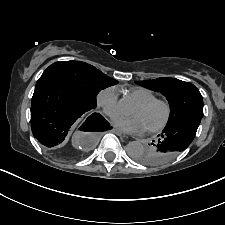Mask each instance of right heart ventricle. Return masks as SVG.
<instances>
[{
  "mask_svg": "<svg viewBox=\"0 0 225 225\" xmlns=\"http://www.w3.org/2000/svg\"><path fill=\"white\" fill-rule=\"evenodd\" d=\"M128 95L133 98L137 103L145 102L156 98V95L149 89L137 87L128 91Z\"/></svg>",
  "mask_w": 225,
  "mask_h": 225,
  "instance_id": "1",
  "label": "right heart ventricle"
}]
</instances>
